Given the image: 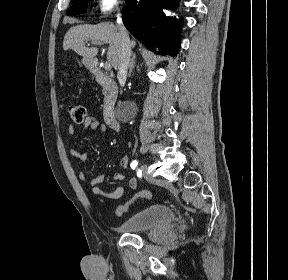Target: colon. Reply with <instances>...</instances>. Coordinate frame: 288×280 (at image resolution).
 Returning <instances> with one entry per match:
<instances>
[{"label":"colon","instance_id":"5ec220e1","mask_svg":"<svg viewBox=\"0 0 288 280\" xmlns=\"http://www.w3.org/2000/svg\"><path fill=\"white\" fill-rule=\"evenodd\" d=\"M68 113L75 123H82L85 119L86 110L82 105L72 104L68 106ZM150 198L151 194L148 191H141L137 193L130 201L119 205L115 210V214L117 216H122L128 211L129 207L136 200H149Z\"/></svg>","mask_w":288,"mask_h":280}]
</instances>
